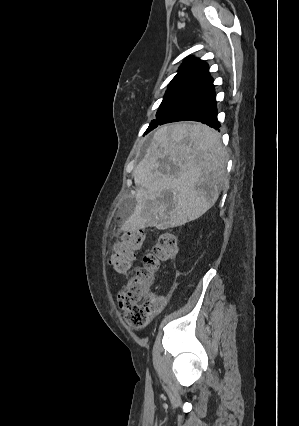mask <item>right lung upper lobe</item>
Returning <instances> with one entry per match:
<instances>
[{
  "mask_svg": "<svg viewBox=\"0 0 299 426\" xmlns=\"http://www.w3.org/2000/svg\"><path fill=\"white\" fill-rule=\"evenodd\" d=\"M213 82L209 75L208 65L194 57L187 58L178 70V74L169 85H190L199 87Z\"/></svg>",
  "mask_w": 299,
  "mask_h": 426,
  "instance_id": "cb5924a9",
  "label": "right lung upper lobe"
}]
</instances>
